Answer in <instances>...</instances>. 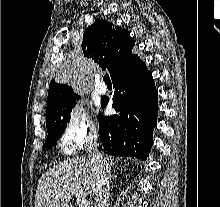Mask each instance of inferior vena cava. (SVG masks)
<instances>
[{
  "mask_svg": "<svg viewBox=\"0 0 220 207\" xmlns=\"http://www.w3.org/2000/svg\"><path fill=\"white\" fill-rule=\"evenodd\" d=\"M97 135L93 134L88 147V158L97 171L94 186V207H107L110 197L111 172L106 158L97 149Z\"/></svg>",
  "mask_w": 220,
  "mask_h": 207,
  "instance_id": "1",
  "label": "inferior vena cava"
}]
</instances>
